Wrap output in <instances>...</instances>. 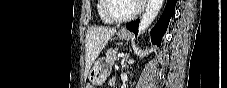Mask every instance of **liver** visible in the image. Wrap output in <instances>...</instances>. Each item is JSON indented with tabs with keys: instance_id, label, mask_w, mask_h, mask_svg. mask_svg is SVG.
<instances>
[{
	"instance_id": "1",
	"label": "liver",
	"mask_w": 227,
	"mask_h": 88,
	"mask_svg": "<svg viewBox=\"0 0 227 88\" xmlns=\"http://www.w3.org/2000/svg\"><path fill=\"white\" fill-rule=\"evenodd\" d=\"M116 33L115 28L93 26L87 30L86 34V69L89 71L94 61L99 56L102 49L110 38Z\"/></svg>"
}]
</instances>
